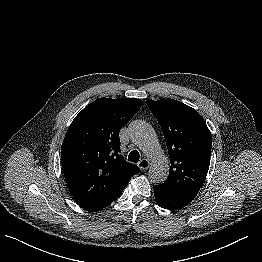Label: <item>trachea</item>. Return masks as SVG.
<instances>
[{"instance_id":"trachea-1","label":"trachea","mask_w":262,"mask_h":262,"mask_svg":"<svg viewBox=\"0 0 262 262\" xmlns=\"http://www.w3.org/2000/svg\"><path fill=\"white\" fill-rule=\"evenodd\" d=\"M140 155L137 150H133L129 153L128 160L137 163L139 161Z\"/></svg>"}]
</instances>
